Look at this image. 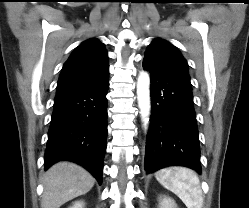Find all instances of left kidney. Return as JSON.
<instances>
[{"instance_id": "left-kidney-1", "label": "left kidney", "mask_w": 249, "mask_h": 208, "mask_svg": "<svg viewBox=\"0 0 249 208\" xmlns=\"http://www.w3.org/2000/svg\"><path fill=\"white\" fill-rule=\"evenodd\" d=\"M159 208H177L175 201L169 197H164L161 200Z\"/></svg>"}]
</instances>
